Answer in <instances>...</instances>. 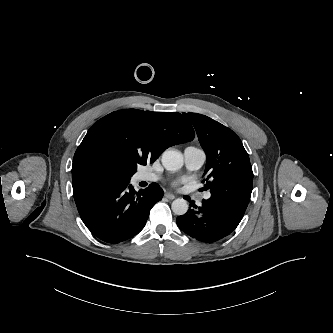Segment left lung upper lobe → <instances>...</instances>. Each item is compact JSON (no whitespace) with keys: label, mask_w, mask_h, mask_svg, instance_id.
Segmentation results:
<instances>
[{"label":"left lung upper lobe","mask_w":333,"mask_h":333,"mask_svg":"<svg viewBox=\"0 0 333 333\" xmlns=\"http://www.w3.org/2000/svg\"><path fill=\"white\" fill-rule=\"evenodd\" d=\"M183 114L193 124L207 156L201 191H214L223 174L250 164L240 138L231 129L202 114Z\"/></svg>","instance_id":"5c2ea615"}]
</instances>
